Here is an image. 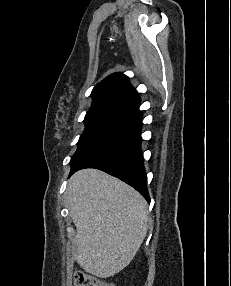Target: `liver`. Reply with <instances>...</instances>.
<instances>
[{
    "mask_svg": "<svg viewBox=\"0 0 231 286\" xmlns=\"http://www.w3.org/2000/svg\"><path fill=\"white\" fill-rule=\"evenodd\" d=\"M66 193L76 227L78 264L102 279L119 273L146 237L147 202L126 183L96 169L76 172Z\"/></svg>",
    "mask_w": 231,
    "mask_h": 286,
    "instance_id": "1",
    "label": "liver"
}]
</instances>
